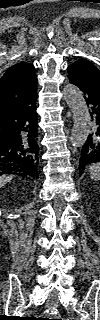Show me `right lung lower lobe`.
Returning <instances> with one entry per match:
<instances>
[{"mask_svg": "<svg viewBox=\"0 0 100 320\" xmlns=\"http://www.w3.org/2000/svg\"><path fill=\"white\" fill-rule=\"evenodd\" d=\"M36 89L17 101L0 104L2 174L38 178Z\"/></svg>", "mask_w": 100, "mask_h": 320, "instance_id": "right-lung-lower-lobe-1", "label": "right lung lower lobe"}]
</instances>
